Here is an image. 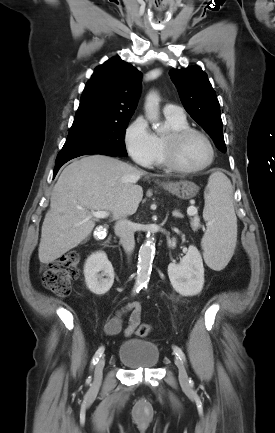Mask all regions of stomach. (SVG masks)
Here are the masks:
<instances>
[{
    "label": "stomach",
    "instance_id": "stomach-1",
    "mask_svg": "<svg viewBox=\"0 0 275 433\" xmlns=\"http://www.w3.org/2000/svg\"><path fill=\"white\" fill-rule=\"evenodd\" d=\"M164 188L171 194L185 200L194 198L199 192V187L191 181L171 183L164 185Z\"/></svg>",
    "mask_w": 275,
    "mask_h": 433
}]
</instances>
